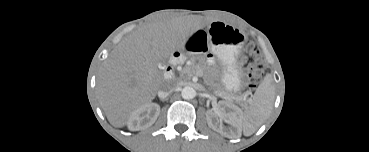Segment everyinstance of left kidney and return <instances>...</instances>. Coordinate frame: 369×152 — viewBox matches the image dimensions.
<instances>
[{"instance_id":"left-kidney-1","label":"left kidney","mask_w":369,"mask_h":152,"mask_svg":"<svg viewBox=\"0 0 369 152\" xmlns=\"http://www.w3.org/2000/svg\"><path fill=\"white\" fill-rule=\"evenodd\" d=\"M217 116H221L227 120L228 123L238 132L241 121V110L237 106L221 101L216 109L208 110L206 113L208 126L219 133H225L222 123L214 121Z\"/></svg>"}]
</instances>
